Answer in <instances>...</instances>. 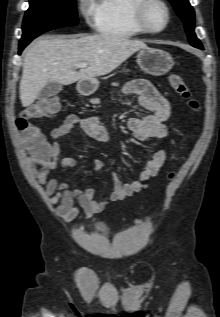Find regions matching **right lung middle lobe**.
Segmentation results:
<instances>
[{
  "label": "right lung middle lobe",
  "mask_w": 220,
  "mask_h": 317,
  "mask_svg": "<svg viewBox=\"0 0 220 317\" xmlns=\"http://www.w3.org/2000/svg\"><path fill=\"white\" fill-rule=\"evenodd\" d=\"M77 23L76 0H30L20 42L31 40L53 29L75 26Z\"/></svg>",
  "instance_id": "1"
}]
</instances>
